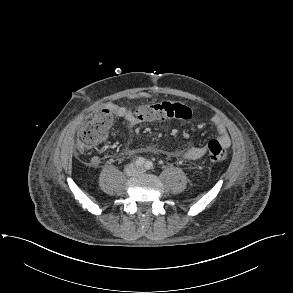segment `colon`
<instances>
[{"label":"colon","mask_w":293,"mask_h":293,"mask_svg":"<svg viewBox=\"0 0 293 293\" xmlns=\"http://www.w3.org/2000/svg\"><path fill=\"white\" fill-rule=\"evenodd\" d=\"M192 109L177 101H165L151 105H142L136 110V117L142 121L152 122L167 118L189 119ZM114 120L112 112L102 109L91 113L82 124L77 140L76 152L85 156L95 145L103 141ZM208 158L212 162H219L226 158V149L217 141L210 140L207 144Z\"/></svg>","instance_id":"5ec220e1"}]
</instances>
